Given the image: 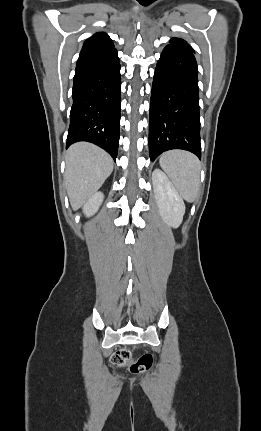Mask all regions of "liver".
Listing matches in <instances>:
<instances>
[{
  "mask_svg": "<svg viewBox=\"0 0 261 431\" xmlns=\"http://www.w3.org/2000/svg\"><path fill=\"white\" fill-rule=\"evenodd\" d=\"M113 171V160L103 149L87 142L67 151L65 184L74 210L84 205Z\"/></svg>",
  "mask_w": 261,
  "mask_h": 431,
  "instance_id": "1",
  "label": "liver"
}]
</instances>
